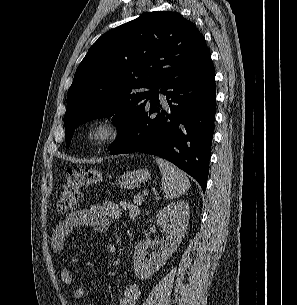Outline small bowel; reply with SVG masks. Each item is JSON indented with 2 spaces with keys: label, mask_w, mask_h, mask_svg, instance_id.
Masks as SVG:
<instances>
[{
  "label": "small bowel",
  "mask_w": 297,
  "mask_h": 305,
  "mask_svg": "<svg viewBox=\"0 0 297 305\" xmlns=\"http://www.w3.org/2000/svg\"><path fill=\"white\" fill-rule=\"evenodd\" d=\"M121 217L119 208L112 202L91 205L82 210L70 213L64 220L60 221L51 234V245L54 251L63 255L66 249V241L77 226H89L97 232H105L111 220H118ZM105 251L113 254L115 245L107 242L104 245ZM60 277L64 284L72 286L73 276L69 268L63 267L60 270ZM85 295V290L81 286L73 288V296L81 299ZM140 297V286L133 282L128 284L123 291V296L118 305H136ZM89 305V304H85Z\"/></svg>",
  "instance_id": "small-bowel-1"
}]
</instances>
